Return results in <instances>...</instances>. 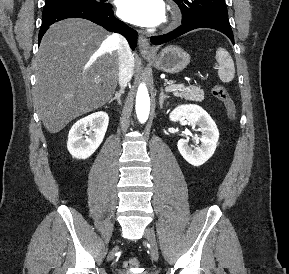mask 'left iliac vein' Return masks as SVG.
<instances>
[{
    "instance_id": "obj_1",
    "label": "left iliac vein",
    "mask_w": 289,
    "mask_h": 274,
    "mask_svg": "<svg viewBox=\"0 0 289 274\" xmlns=\"http://www.w3.org/2000/svg\"><path fill=\"white\" fill-rule=\"evenodd\" d=\"M144 236L150 245L152 256L155 259H157L158 258V246H157V241H156L153 230L150 228H147L144 232Z\"/></svg>"
}]
</instances>
